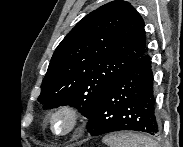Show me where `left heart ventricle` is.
Here are the masks:
<instances>
[{
  "label": "left heart ventricle",
  "instance_id": "left-heart-ventricle-1",
  "mask_svg": "<svg viewBox=\"0 0 183 147\" xmlns=\"http://www.w3.org/2000/svg\"><path fill=\"white\" fill-rule=\"evenodd\" d=\"M71 127V120L68 116L61 114L54 119V128L58 133H63Z\"/></svg>",
  "mask_w": 183,
  "mask_h": 147
}]
</instances>
